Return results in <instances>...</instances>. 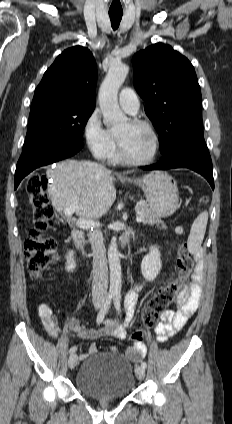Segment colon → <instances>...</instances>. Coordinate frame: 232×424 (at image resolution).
<instances>
[{"label": "colon", "instance_id": "obj_1", "mask_svg": "<svg viewBox=\"0 0 232 424\" xmlns=\"http://www.w3.org/2000/svg\"><path fill=\"white\" fill-rule=\"evenodd\" d=\"M47 181L41 174L31 176L27 182V193L32 207L34 225L24 243V254L28 270L39 278L56 259V244L47 231L54 227L53 208L47 195ZM178 275L158 290L143 311V327L127 338L130 345L142 343L146 329L152 326L166 308L177 298L189 277L194 260L186 243L178 248Z\"/></svg>", "mask_w": 232, "mask_h": 424}]
</instances>
